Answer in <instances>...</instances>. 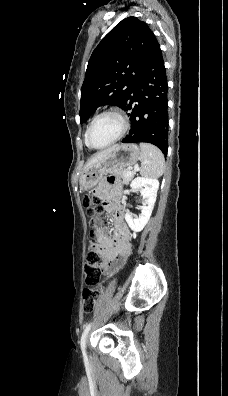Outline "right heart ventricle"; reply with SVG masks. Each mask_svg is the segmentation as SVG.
<instances>
[{
  "label": "right heart ventricle",
  "instance_id": "e07e8e85",
  "mask_svg": "<svg viewBox=\"0 0 228 396\" xmlns=\"http://www.w3.org/2000/svg\"><path fill=\"white\" fill-rule=\"evenodd\" d=\"M88 129V128H87ZM87 129L85 130V133H84V139H85V143H86V132H87ZM87 145V144H86Z\"/></svg>",
  "mask_w": 228,
  "mask_h": 396
}]
</instances>
